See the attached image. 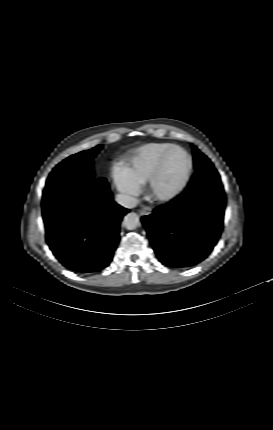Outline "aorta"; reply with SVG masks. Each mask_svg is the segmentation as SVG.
<instances>
[{
    "instance_id": "762f6f07",
    "label": "aorta",
    "mask_w": 273,
    "mask_h": 430,
    "mask_svg": "<svg viewBox=\"0 0 273 430\" xmlns=\"http://www.w3.org/2000/svg\"><path fill=\"white\" fill-rule=\"evenodd\" d=\"M123 224L126 229L134 230L140 225L139 216L135 212H130L124 217Z\"/></svg>"
}]
</instances>
